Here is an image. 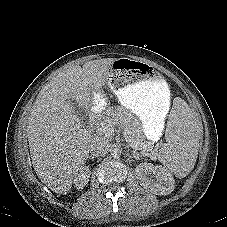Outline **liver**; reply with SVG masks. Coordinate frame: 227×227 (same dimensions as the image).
<instances>
[{
    "label": "liver",
    "mask_w": 227,
    "mask_h": 227,
    "mask_svg": "<svg viewBox=\"0 0 227 227\" xmlns=\"http://www.w3.org/2000/svg\"><path fill=\"white\" fill-rule=\"evenodd\" d=\"M114 61L104 58L65 69L34 102L27 127L31 160L38 178L53 192L66 195L71 190L93 140L90 132L81 128L70 101L84 111L92 110L94 99L107 84L104 72Z\"/></svg>",
    "instance_id": "liver-1"
}]
</instances>
